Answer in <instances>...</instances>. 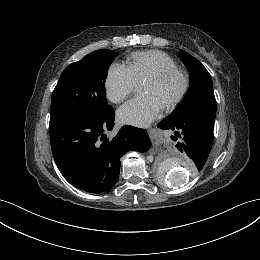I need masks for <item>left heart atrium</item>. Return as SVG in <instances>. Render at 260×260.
<instances>
[{
	"mask_svg": "<svg viewBox=\"0 0 260 260\" xmlns=\"http://www.w3.org/2000/svg\"><path fill=\"white\" fill-rule=\"evenodd\" d=\"M164 105L154 95L147 94L128 101L118 110L123 123L144 126L156 119Z\"/></svg>",
	"mask_w": 260,
	"mask_h": 260,
	"instance_id": "left-heart-atrium-1",
	"label": "left heart atrium"
}]
</instances>
